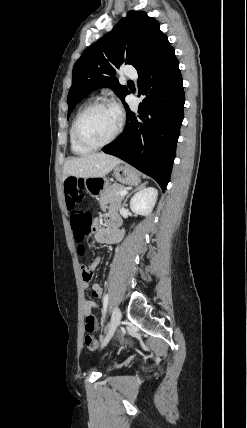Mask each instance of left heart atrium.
<instances>
[{
    "label": "left heart atrium",
    "instance_id": "39dd6f15",
    "mask_svg": "<svg viewBox=\"0 0 247 428\" xmlns=\"http://www.w3.org/2000/svg\"><path fill=\"white\" fill-rule=\"evenodd\" d=\"M113 110H114V112L116 113L117 116L120 115V109H119V107L117 105L113 106Z\"/></svg>",
    "mask_w": 247,
    "mask_h": 428
}]
</instances>
